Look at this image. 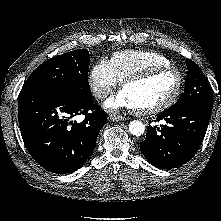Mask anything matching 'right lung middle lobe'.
<instances>
[{
    "instance_id": "1",
    "label": "right lung middle lobe",
    "mask_w": 221,
    "mask_h": 221,
    "mask_svg": "<svg viewBox=\"0 0 221 221\" xmlns=\"http://www.w3.org/2000/svg\"><path fill=\"white\" fill-rule=\"evenodd\" d=\"M89 58L85 49L53 57L33 71L21 91L46 88L67 91L82 99H91L88 83Z\"/></svg>"
}]
</instances>
